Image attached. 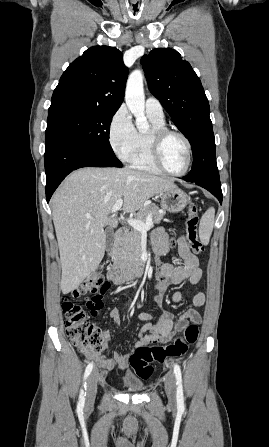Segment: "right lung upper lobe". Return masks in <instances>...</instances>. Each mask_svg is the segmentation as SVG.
Segmentation results:
<instances>
[{
  "mask_svg": "<svg viewBox=\"0 0 269 447\" xmlns=\"http://www.w3.org/2000/svg\"><path fill=\"white\" fill-rule=\"evenodd\" d=\"M128 69L115 47L95 46L72 62L53 92L48 113L61 110L117 111Z\"/></svg>",
  "mask_w": 269,
  "mask_h": 447,
  "instance_id": "1",
  "label": "right lung upper lobe"
}]
</instances>
